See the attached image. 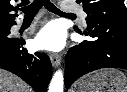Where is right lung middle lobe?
<instances>
[{"label": "right lung middle lobe", "mask_w": 127, "mask_h": 92, "mask_svg": "<svg viewBox=\"0 0 127 92\" xmlns=\"http://www.w3.org/2000/svg\"><path fill=\"white\" fill-rule=\"evenodd\" d=\"M8 27H9V25H1L0 26V32L1 31H6Z\"/></svg>", "instance_id": "dd1d6c3e"}]
</instances>
